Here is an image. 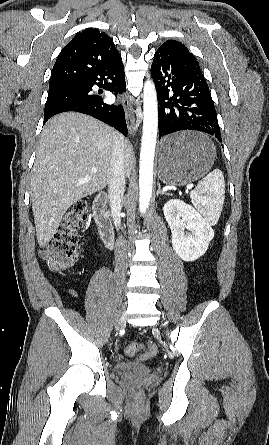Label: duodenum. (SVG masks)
Here are the masks:
<instances>
[{
    "mask_svg": "<svg viewBox=\"0 0 269 445\" xmlns=\"http://www.w3.org/2000/svg\"><path fill=\"white\" fill-rule=\"evenodd\" d=\"M107 200L108 196L105 192L97 194L93 202V216L102 241L108 248H112L115 235L112 223L106 212Z\"/></svg>",
    "mask_w": 269,
    "mask_h": 445,
    "instance_id": "duodenum-1",
    "label": "duodenum"
}]
</instances>
